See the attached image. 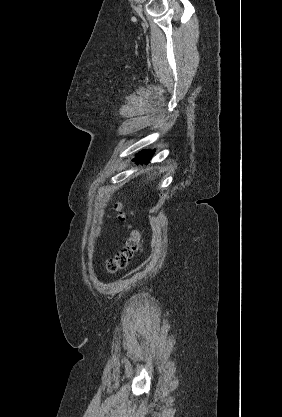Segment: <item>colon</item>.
Returning a JSON list of instances; mask_svg holds the SVG:
<instances>
[{"instance_id": "obj_1", "label": "colon", "mask_w": 282, "mask_h": 417, "mask_svg": "<svg viewBox=\"0 0 282 417\" xmlns=\"http://www.w3.org/2000/svg\"><path fill=\"white\" fill-rule=\"evenodd\" d=\"M116 204L118 207V210L120 211V216L123 220H125L127 217L131 216V211L125 210V201L122 199H117ZM141 232L138 229H132L125 247L123 251L113 260L108 261L106 263V270L108 272H114L118 269H122L126 267L132 259L135 257V255L140 252L141 250Z\"/></svg>"}]
</instances>
